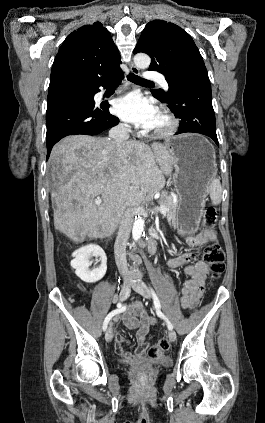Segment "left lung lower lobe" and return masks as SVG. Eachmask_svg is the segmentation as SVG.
<instances>
[{
	"label": "left lung lower lobe",
	"instance_id": "obj_1",
	"mask_svg": "<svg viewBox=\"0 0 265 423\" xmlns=\"http://www.w3.org/2000/svg\"><path fill=\"white\" fill-rule=\"evenodd\" d=\"M169 85L170 110L181 124L176 134L187 132L200 133L214 140L216 135L215 113L212 106L211 85L204 63L198 62L176 72Z\"/></svg>",
	"mask_w": 265,
	"mask_h": 423
}]
</instances>
